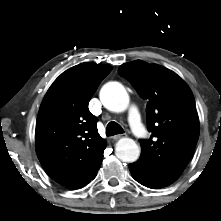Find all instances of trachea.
Masks as SVG:
<instances>
[{
	"mask_svg": "<svg viewBox=\"0 0 221 221\" xmlns=\"http://www.w3.org/2000/svg\"><path fill=\"white\" fill-rule=\"evenodd\" d=\"M124 133L123 128L116 122H109L106 127V136H113Z\"/></svg>",
	"mask_w": 221,
	"mask_h": 221,
	"instance_id": "obj_1",
	"label": "trachea"
}]
</instances>
